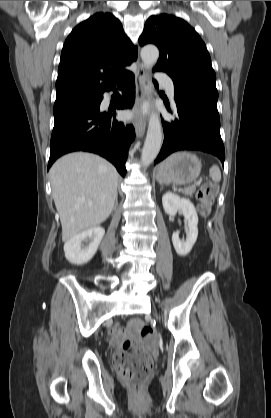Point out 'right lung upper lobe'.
Wrapping results in <instances>:
<instances>
[{
	"instance_id": "right-lung-upper-lobe-1",
	"label": "right lung upper lobe",
	"mask_w": 271,
	"mask_h": 418,
	"mask_svg": "<svg viewBox=\"0 0 271 418\" xmlns=\"http://www.w3.org/2000/svg\"><path fill=\"white\" fill-rule=\"evenodd\" d=\"M137 58L120 21L96 13L76 26L62 49L55 103L99 97L113 87Z\"/></svg>"
}]
</instances>
